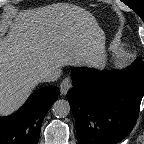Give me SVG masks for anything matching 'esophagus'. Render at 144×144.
<instances>
[{
  "label": "esophagus",
  "mask_w": 144,
  "mask_h": 144,
  "mask_svg": "<svg viewBox=\"0 0 144 144\" xmlns=\"http://www.w3.org/2000/svg\"><path fill=\"white\" fill-rule=\"evenodd\" d=\"M72 88V81L71 78H65L62 83L60 84V93L61 95L65 96L67 92Z\"/></svg>",
  "instance_id": "obj_1"
}]
</instances>
